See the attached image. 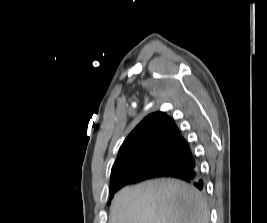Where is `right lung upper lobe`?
Here are the masks:
<instances>
[{
	"label": "right lung upper lobe",
	"mask_w": 267,
	"mask_h": 223,
	"mask_svg": "<svg viewBox=\"0 0 267 223\" xmlns=\"http://www.w3.org/2000/svg\"><path fill=\"white\" fill-rule=\"evenodd\" d=\"M165 147L189 150L174 120L164 112H155L145 117L123 142L112 167L111 179L125 173L126 164L149 159Z\"/></svg>",
	"instance_id": "right-lung-upper-lobe-1"
}]
</instances>
